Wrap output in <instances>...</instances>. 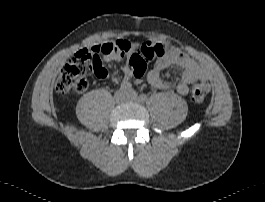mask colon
Instances as JSON below:
<instances>
[{"label":"colon","mask_w":265,"mask_h":202,"mask_svg":"<svg viewBox=\"0 0 265 202\" xmlns=\"http://www.w3.org/2000/svg\"><path fill=\"white\" fill-rule=\"evenodd\" d=\"M117 51L122 55H129L131 74L135 80L144 75L147 65L157 57H161L165 50L160 44L142 45L135 51H130L128 43H107L96 45L70 59L61 69L56 82L55 90L59 93L83 92L87 88V75L93 71L98 76L105 75V69L100 64V53ZM209 93L208 83L203 79H194L191 82V96L194 102L201 103Z\"/></svg>","instance_id":"colon-1"}]
</instances>
